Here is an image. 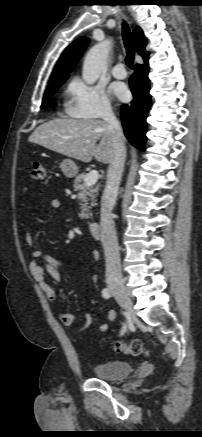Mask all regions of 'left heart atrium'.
I'll return each instance as SVG.
<instances>
[{"mask_svg": "<svg viewBox=\"0 0 202 437\" xmlns=\"http://www.w3.org/2000/svg\"><path fill=\"white\" fill-rule=\"evenodd\" d=\"M112 92L116 95V97L120 100H126L129 96V91L123 84H114L111 87Z\"/></svg>", "mask_w": 202, "mask_h": 437, "instance_id": "left-heart-atrium-1", "label": "left heart atrium"}]
</instances>
